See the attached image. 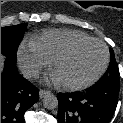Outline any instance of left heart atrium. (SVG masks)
<instances>
[{
  "label": "left heart atrium",
  "instance_id": "obj_1",
  "mask_svg": "<svg viewBox=\"0 0 123 123\" xmlns=\"http://www.w3.org/2000/svg\"><path fill=\"white\" fill-rule=\"evenodd\" d=\"M52 79H53L55 82H59V80H58V78H57V76H56L55 74L52 76Z\"/></svg>",
  "mask_w": 123,
  "mask_h": 123
}]
</instances>
